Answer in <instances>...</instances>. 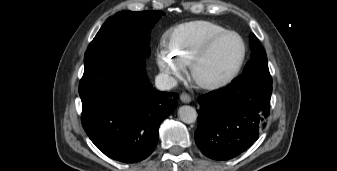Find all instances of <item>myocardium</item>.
Here are the masks:
<instances>
[{"label": "myocardium", "instance_id": "f54148a6", "mask_svg": "<svg viewBox=\"0 0 337 171\" xmlns=\"http://www.w3.org/2000/svg\"><path fill=\"white\" fill-rule=\"evenodd\" d=\"M228 36H235L239 39L241 43V55L237 63L234 65V67L221 79L214 80V81H208V80H202L198 77L197 70L200 65V63L203 61V59L206 57V55L210 52V50L213 48V46L218 43L220 40L228 37ZM247 54V47L244 39L241 37L240 34H238L235 31L226 30L220 34H217L210 39H208L196 52V54L193 56L190 64H189V70L192 80L201 88L207 89V90H217L226 87L229 85L238 75L239 71L241 70L245 58Z\"/></svg>", "mask_w": 337, "mask_h": 171}]
</instances>
